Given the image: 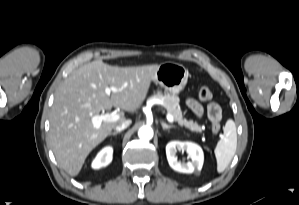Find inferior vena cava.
<instances>
[{
    "mask_svg": "<svg viewBox=\"0 0 299 205\" xmlns=\"http://www.w3.org/2000/svg\"><path fill=\"white\" fill-rule=\"evenodd\" d=\"M130 124H131V120H125V121L122 122L121 124L117 125V126L115 127V130H116L117 132H120V131L126 129Z\"/></svg>",
    "mask_w": 299,
    "mask_h": 205,
    "instance_id": "1",
    "label": "inferior vena cava"
}]
</instances>
